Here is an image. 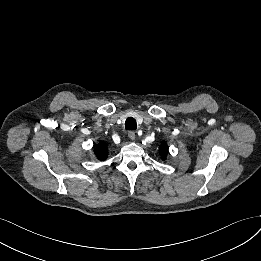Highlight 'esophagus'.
I'll list each match as a JSON object with an SVG mask.
<instances>
[{"instance_id":"1","label":"esophagus","mask_w":261,"mask_h":261,"mask_svg":"<svg viewBox=\"0 0 261 261\" xmlns=\"http://www.w3.org/2000/svg\"><path fill=\"white\" fill-rule=\"evenodd\" d=\"M128 137H129L131 140H135V137H136L135 132H134V131H130V132L128 133Z\"/></svg>"}]
</instances>
